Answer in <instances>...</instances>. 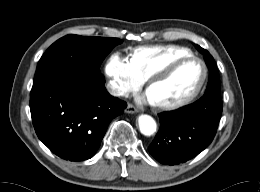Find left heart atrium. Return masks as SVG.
Here are the masks:
<instances>
[{
  "instance_id": "1",
  "label": "left heart atrium",
  "mask_w": 260,
  "mask_h": 192,
  "mask_svg": "<svg viewBox=\"0 0 260 192\" xmlns=\"http://www.w3.org/2000/svg\"><path fill=\"white\" fill-rule=\"evenodd\" d=\"M149 100H153L154 98L151 96V94L148 95Z\"/></svg>"
}]
</instances>
